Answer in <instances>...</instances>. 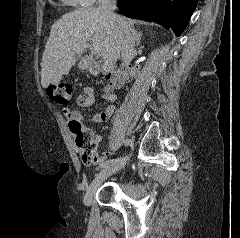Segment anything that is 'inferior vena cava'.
<instances>
[{
	"label": "inferior vena cava",
	"instance_id": "obj_1",
	"mask_svg": "<svg viewBox=\"0 0 240 238\" xmlns=\"http://www.w3.org/2000/svg\"><path fill=\"white\" fill-rule=\"evenodd\" d=\"M116 7L117 0H99V12L103 14L109 21L118 24L122 28V66H127L134 56L136 33L131 25H129L125 20H123L122 17L114 13Z\"/></svg>",
	"mask_w": 240,
	"mask_h": 238
}]
</instances>
